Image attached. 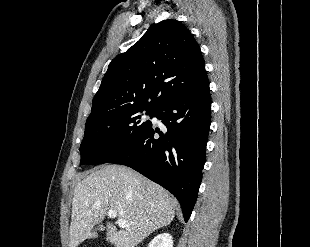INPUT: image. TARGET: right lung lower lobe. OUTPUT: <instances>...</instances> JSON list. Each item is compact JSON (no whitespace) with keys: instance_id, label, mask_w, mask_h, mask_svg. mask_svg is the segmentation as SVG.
Segmentation results:
<instances>
[{"instance_id":"98d812e1","label":"right lung lower lobe","mask_w":310,"mask_h":247,"mask_svg":"<svg viewBox=\"0 0 310 247\" xmlns=\"http://www.w3.org/2000/svg\"><path fill=\"white\" fill-rule=\"evenodd\" d=\"M153 117L167 131L162 133L150 123L132 146L107 163L129 166L170 191L179 200L187 222L206 159L211 123L209 81L169 99Z\"/></svg>"}]
</instances>
